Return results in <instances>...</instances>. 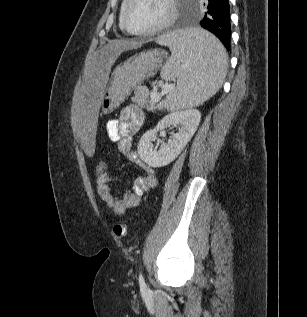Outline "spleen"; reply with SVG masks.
Wrapping results in <instances>:
<instances>
[{"label": "spleen", "mask_w": 307, "mask_h": 317, "mask_svg": "<svg viewBox=\"0 0 307 317\" xmlns=\"http://www.w3.org/2000/svg\"><path fill=\"white\" fill-rule=\"evenodd\" d=\"M152 42L167 45L171 51L161 71L164 80H177L167 96L168 110L198 106L220 89L228 57L221 42L202 31V26H179L174 33H158Z\"/></svg>", "instance_id": "spleen-1"}]
</instances>
